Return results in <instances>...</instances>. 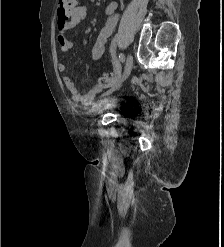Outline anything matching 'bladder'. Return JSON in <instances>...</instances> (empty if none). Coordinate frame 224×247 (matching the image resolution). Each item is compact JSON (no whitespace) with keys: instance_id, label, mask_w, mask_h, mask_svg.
Here are the masks:
<instances>
[{"instance_id":"31cf9c89","label":"bladder","mask_w":224,"mask_h":247,"mask_svg":"<svg viewBox=\"0 0 224 247\" xmlns=\"http://www.w3.org/2000/svg\"><path fill=\"white\" fill-rule=\"evenodd\" d=\"M126 105V102L123 99L119 98H108L105 99V107L110 109H122Z\"/></svg>"}]
</instances>
